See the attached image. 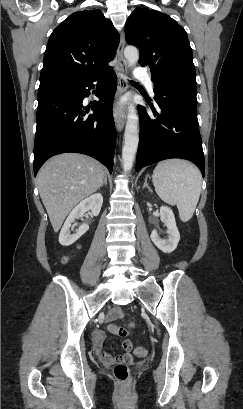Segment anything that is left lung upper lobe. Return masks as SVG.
<instances>
[{
  "label": "left lung upper lobe",
  "instance_id": "obj_1",
  "mask_svg": "<svg viewBox=\"0 0 243 409\" xmlns=\"http://www.w3.org/2000/svg\"><path fill=\"white\" fill-rule=\"evenodd\" d=\"M126 41L140 50L139 63L157 82L174 75H195L192 49L183 27L168 15L137 7L125 25Z\"/></svg>",
  "mask_w": 243,
  "mask_h": 409
}]
</instances>
